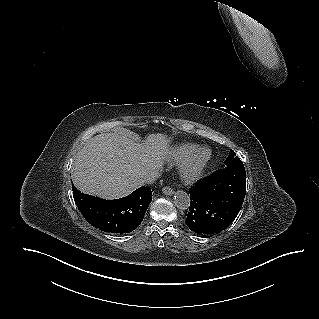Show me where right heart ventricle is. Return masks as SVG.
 <instances>
[{
  "instance_id": "right-heart-ventricle-1",
  "label": "right heart ventricle",
  "mask_w": 319,
  "mask_h": 319,
  "mask_svg": "<svg viewBox=\"0 0 319 319\" xmlns=\"http://www.w3.org/2000/svg\"><path fill=\"white\" fill-rule=\"evenodd\" d=\"M198 150L199 147L196 144H181L172 150L171 160L174 163H182L188 161Z\"/></svg>"
}]
</instances>
